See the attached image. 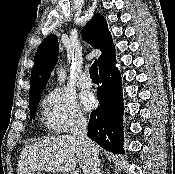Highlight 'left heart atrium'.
I'll return each instance as SVG.
<instances>
[{
    "instance_id": "left-heart-atrium-1",
    "label": "left heart atrium",
    "mask_w": 175,
    "mask_h": 174,
    "mask_svg": "<svg viewBox=\"0 0 175 174\" xmlns=\"http://www.w3.org/2000/svg\"><path fill=\"white\" fill-rule=\"evenodd\" d=\"M81 102L85 109L91 110L96 105V99L91 93H84L81 95Z\"/></svg>"
}]
</instances>
